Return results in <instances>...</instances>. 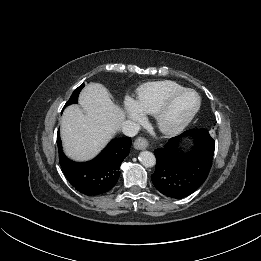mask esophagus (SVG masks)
<instances>
[{
    "mask_svg": "<svg viewBox=\"0 0 261 261\" xmlns=\"http://www.w3.org/2000/svg\"><path fill=\"white\" fill-rule=\"evenodd\" d=\"M149 143H148V140L143 138V137H139L135 140L134 142V147L137 149V150H143V149H146L148 147Z\"/></svg>",
    "mask_w": 261,
    "mask_h": 261,
    "instance_id": "1",
    "label": "esophagus"
}]
</instances>
